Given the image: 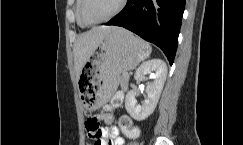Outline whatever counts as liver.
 <instances>
[{
  "instance_id": "6515ba94",
  "label": "liver",
  "mask_w": 243,
  "mask_h": 145,
  "mask_svg": "<svg viewBox=\"0 0 243 145\" xmlns=\"http://www.w3.org/2000/svg\"><path fill=\"white\" fill-rule=\"evenodd\" d=\"M116 29H118V27L115 26L94 27L78 36L74 43V64L77 79L85 63L94 54L104 38Z\"/></svg>"
}]
</instances>
